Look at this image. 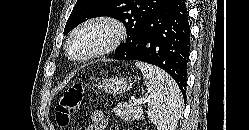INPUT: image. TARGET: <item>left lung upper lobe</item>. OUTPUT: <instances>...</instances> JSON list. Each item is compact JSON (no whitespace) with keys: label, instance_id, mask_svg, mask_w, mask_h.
<instances>
[{"label":"left lung upper lobe","instance_id":"obj_1","mask_svg":"<svg viewBox=\"0 0 249 130\" xmlns=\"http://www.w3.org/2000/svg\"><path fill=\"white\" fill-rule=\"evenodd\" d=\"M170 0H77L69 16L64 34L87 19L109 16L121 21L126 28L127 38L115 50V54L127 46L139 33L144 23L164 8Z\"/></svg>","mask_w":249,"mask_h":130}]
</instances>
